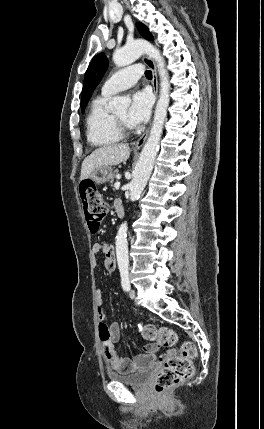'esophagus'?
<instances>
[{
    "mask_svg": "<svg viewBox=\"0 0 264 429\" xmlns=\"http://www.w3.org/2000/svg\"><path fill=\"white\" fill-rule=\"evenodd\" d=\"M143 61L152 71L153 90H154L156 97H158V77H157L156 65L152 59H150L149 57H146V56L143 57ZM148 133H149V128L145 131V133L136 142H134L133 147L134 148H141L144 145V143L148 137Z\"/></svg>",
    "mask_w": 264,
    "mask_h": 429,
    "instance_id": "esophagus-1",
    "label": "esophagus"
}]
</instances>
